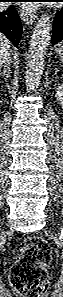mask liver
I'll list each match as a JSON object with an SVG mask.
<instances>
[{
    "label": "liver",
    "instance_id": "6515ba94",
    "mask_svg": "<svg viewBox=\"0 0 63 297\" xmlns=\"http://www.w3.org/2000/svg\"><path fill=\"white\" fill-rule=\"evenodd\" d=\"M11 43L5 36H0V62L6 56H10Z\"/></svg>",
    "mask_w": 63,
    "mask_h": 297
}]
</instances>
